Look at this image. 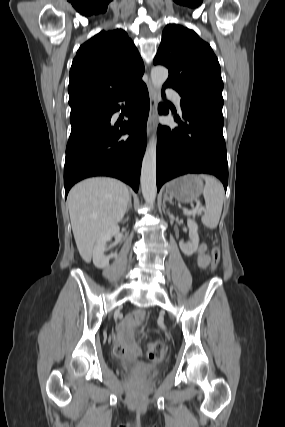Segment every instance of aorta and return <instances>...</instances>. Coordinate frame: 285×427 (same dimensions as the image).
<instances>
[{
	"instance_id": "1",
	"label": "aorta",
	"mask_w": 285,
	"mask_h": 427,
	"mask_svg": "<svg viewBox=\"0 0 285 427\" xmlns=\"http://www.w3.org/2000/svg\"><path fill=\"white\" fill-rule=\"evenodd\" d=\"M168 78V70L163 66H155L151 70V82L160 89ZM156 144L153 137L146 148L141 168V189L147 204H153L156 199Z\"/></svg>"
}]
</instances>
